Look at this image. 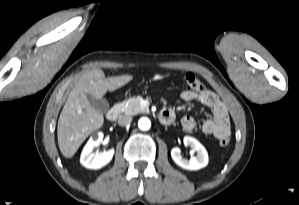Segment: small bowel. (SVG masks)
<instances>
[{"mask_svg": "<svg viewBox=\"0 0 299 205\" xmlns=\"http://www.w3.org/2000/svg\"><path fill=\"white\" fill-rule=\"evenodd\" d=\"M181 98L184 101H198L204 106L210 108L212 112V118L205 120L200 126L193 117L188 115L184 116L181 119V125L184 130L192 131L197 127H200L203 134L212 135L217 139L230 135L228 112L214 92L205 90L201 93H195L189 90H184L181 93ZM162 112H169L174 118V112L172 109L165 108Z\"/></svg>", "mask_w": 299, "mask_h": 205, "instance_id": "obj_1", "label": "small bowel"}]
</instances>
